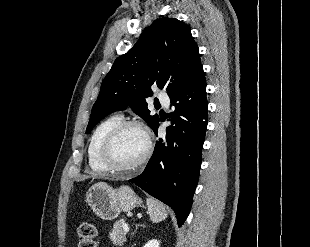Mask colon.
I'll return each mask as SVG.
<instances>
[{
    "label": "colon",
    "instance_id": "obj_1",
    "mask_svg": "<svg viewBox=\"0 0 310 247\" xmlns=\"http://www.w3.org/2000/svg\"><path fill=\"white\" fill-rule=\"evenodd\" d=\"M96 234V228L92 223H82L78 228V247H96Z\"/></svg>",
    "mask_w": 310,
    "mask_h": 247
}]
</instances>
